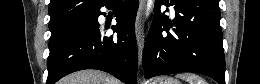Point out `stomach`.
Here are the masks:
<instances>
[{
    "instance_id": "obj_1",
    "label": "stomach",
    "mask_w": 260,
    "mask_h": 84,
    "mask_svg": "<svg viewBox=\"0 0 260 84\" xmlns=\"http://www.w3.org/2000/svg\"><path fill=\"white\" fill-rule=\"evenodd\" d=\"M152 84H181L179 80L173 78V77H159L155 79Z\"/></svg>"
}]
</instances>
